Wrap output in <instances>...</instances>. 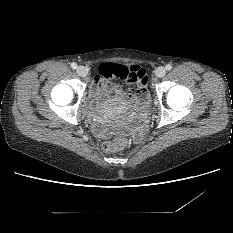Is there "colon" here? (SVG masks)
Wrapping results in <instances>:
<instances>
[{"instance_id": "colon-1", "label": "colon", "mask_w": 233, "mask_h": 233, "mask_svg": "<svg viewBox=\"0 0 233 233\" xmlns=\"http://www.w3.org/2000/svg\"><path fill=\"white\" fill-rule=\"evenodd\" d=\"M117 77L121 79H130L134 84L137 85L135 78H129L128 72L123 67H118L115 70ZM132 144L131 137L127 133L120 134L115 140L108 141L103 144V150L108 154H115L118 151L124 150Z\"/></svg>"}]
</instances>
